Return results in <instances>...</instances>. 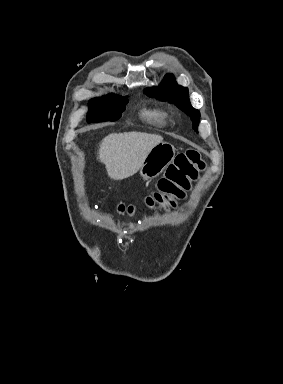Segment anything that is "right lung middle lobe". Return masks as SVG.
Wrapping results in <instances>:
<instances>
[{
	"mask_svg": "<svg viewBox=\"0 0 283 384\" xmlns=\"http://www.w3.org/2000/svg\"><path fill=\"white\" fill-rule=\"evenodd\" d=\"M128 99L118 95L94 98L89 102L87 122L115 121L121 116Z\"/></svg>",
	"mask_w": 283,
	"mask_h": 384,
	"instance_id": "dd1d6c3e",
	"label": "right lung middle lobe"
}]
</instances>
